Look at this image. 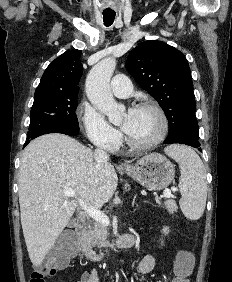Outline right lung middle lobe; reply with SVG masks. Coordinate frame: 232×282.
<instances>
[{"label":"right lung middle lobe","mask_w":232,"mask_h":282,"mask_svg":"<svg viewBox=\"0 0 232 282\" xmlns=\"http://www.w3.org/2000/svg\"><path fill=\"white\" fill-rule=\"evenodd\" d=\"M77 93H35L28 138L55 126L79 130L76 116Z\"/></svg>","instance_id":"dd1d6c3e"}]
</instances>
